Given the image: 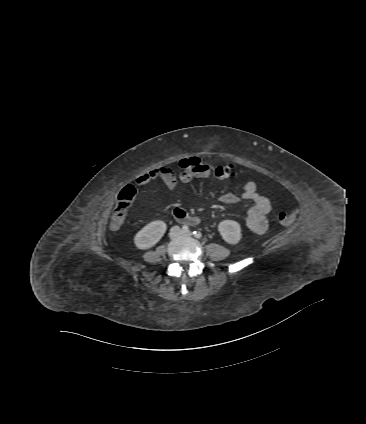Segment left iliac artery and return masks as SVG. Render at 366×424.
Instances as JSON below:
<instances>
[{
	"label": "left iliac artery",
	"instance_id": "obj_1",
	"mask_svg": "<svg viewBox=\"0 0 366 424\" xmlns=\"http://www.w3.org/2000/svg\"><path fill=\"white\" fill-rule=\"evenodd\" d=\"M193 234H194V236L196 238H201L202 237V233L200 231H194Z\"/></svg>",
	"mask_w": 366,
	"mask_h": 424
}]
</instances>
